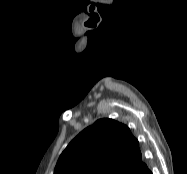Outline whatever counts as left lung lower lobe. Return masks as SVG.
Segmentation results:
<instances>
[{
    "label": "left lung lower lobe",
    "instance_id": "left-lung-lower-lobe-1",
    "mask_svg": "<svg viewBox=\"0 0 187 174\" xmlns=\"http://www.w3.org/2000/svg\"><path fill=\"white\" fill-rule=\"evenodd\" d=\"M135 174H152V172L146 167L144 169H138Z\"/></svg>",
    "mask_w": 187,
    "mask_h": 174
}]
</instances>
